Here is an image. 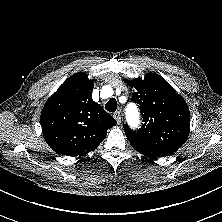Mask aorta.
Wrapping results in <instances>:
<instances>
[{
    "label": "aorta",
    "instance_id": "1",
    "mask_svg": "<svg viewBox=\"0 0 222 222\" xmlns=\"http://www.w3.org/2000/svg\"><path fill=\"white\" fill-rule=\"evenodd\" d=\"M131 117H132L134 123L137 124V122H138V120H137V113L132 112V116Z\"/></svg>",
    "mask_w": 222,
    "mask_h": 222
}]
</instances>
